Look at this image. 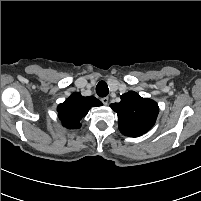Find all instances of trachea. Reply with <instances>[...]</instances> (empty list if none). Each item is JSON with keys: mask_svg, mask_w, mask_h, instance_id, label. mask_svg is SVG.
<instances>
[{"mask_svg": "<svg viewBox=\"0 0 201 201\" xmlns=\"http://www.w3.org/2000/svg\"><path fill=\"white\" fill-rule=\"evenodd\" d=\"M96 93L100 97H106L109 93V88L106 82L100 81L96 86Z\"/></svg>", "mask_w": 201, "mask_h": 201, "instance_id": "trachea-1", "label": "trachea"}]
</instances>
